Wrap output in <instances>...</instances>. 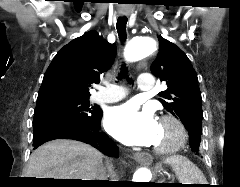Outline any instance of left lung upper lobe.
Returning <instances> with one entry per match:
<instances>
[{
  "label": "left lung upper lobe",
  "instance_id": "5c2ea615",
  "mask_svg": "<svg viewBox=\"0 0 240 187\" xmlns=\"http://www.w3.org/2000/svg\"><path fill=\"white\" fill-rule=\"evenodd\" d=\"M158 57L151 65V72L165 81L167 89L159 93L164 108L178 117L188 130L196 135L191 142L198 152L201 142L202 106L197 74L186 54L172 42L159 36Z\"/></svg>",
  "mask_w": 240,
  "mask_h": 187
}]
</instances>
